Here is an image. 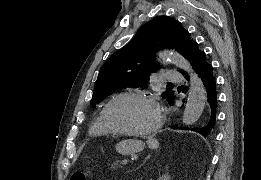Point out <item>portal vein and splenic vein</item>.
Here are the masks:
<instances>
[{"label": "portal vein and splenic vein", "mask_w": 261, "mask_h": 180, "mask_svg": "<svg viewBox=\"0 0 261 180\" xmlns=\"http://www.w3.org/2000/svg\"><path fill=\"white\" fill-rule=\"evenodd\" d=\"M120 162L122 163V166L130 164V161L128 160V158H121Z\"/></svg>", "instance_id": "1"}]
</instances>
